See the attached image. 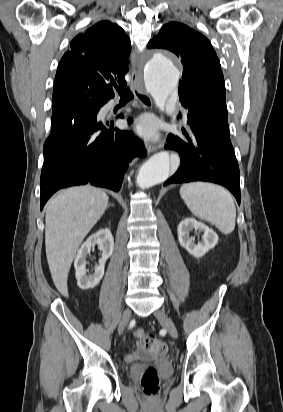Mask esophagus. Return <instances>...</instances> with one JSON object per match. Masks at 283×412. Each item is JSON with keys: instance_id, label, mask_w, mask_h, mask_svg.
I'll list each match as a JSON object with an SVG mask.
<instances>
[{"instance_id": "esophagus-1", "label": "esophagus", "mask_w": 283, "mask_h": 412, "mask_svg": "<svg viewBox=\"0 0 283 412\" xmlns=\"http://www.w3.org/2000/svg\"><path fill=\"white\" fill-rule=\"evenodd\" d=\"M131 86L133 89V93L136 97V99L139 101L140 105L144 109H151L152 108V100L150 96L146 93L143 87H140V78H139V63L135 62L133 63L132 70H131ZM148 152H154L157 150V147L155 145H149L147 148Z\"/></svg>"}]
</instances>
